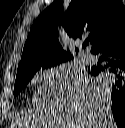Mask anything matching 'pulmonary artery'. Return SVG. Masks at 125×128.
Segmentation results:
<instances>
[{
	"instance_id": "pulmonary-artery-1",
	"label": "pulmonary artery",
	"mask_w": 125,
	"mask_h": 128,
	"mask_svg": "<svg viewBox=\"0 0 125 128\" xmlns=\"http://www.w3.org/2000/svg\"><path fill=\"white\" fill-rule=\"evenodd\" d=\"M80 60H81V62H83L85 64H89L93 61V58L89 54L83 53L80 56Z\"/></svg>"
}]
</instances>
